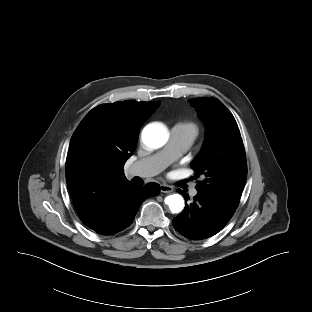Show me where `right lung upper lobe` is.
Listing matches in <instances>:
<instances>
[{"mask_svg": "<svg viewBox=\"0 0 312 312\" xmlns=\"http://www.w3.org/2000/svg\"><path fill=\"white\" fill-rule=\"evenodd\" d=\"M160 102L101 104L82 119L72 135L66 181L83 222L94 219L130 183L123 166L136 148L138 132Z\"/></svg>", "mask_w": 312, "mask_h": 312, "instance_id": "right-lung-upper-lobe-1", "label": "right lung upper lobe"}]
</instances>
